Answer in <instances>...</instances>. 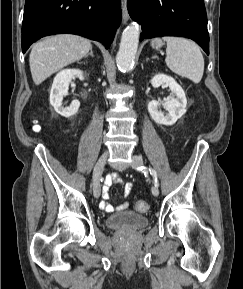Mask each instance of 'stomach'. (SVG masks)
Here are the masks:
<instances>
[{"label": "stomach", "mask_w": 243, "mask_h": 289, "mask_svg": "<svg viewBox=\"0 0 243 289\" xmlns=\"http://www.w3.org/2000/svg\"><path fill=\"white\" fill-rule=\"evenodd\" d=\"M151 45L152 47L158 49L163 45V43L160 39L157 38V39L152 40Z\"/></svg>", "instance_id": "stomach-1"}]
</instances>
